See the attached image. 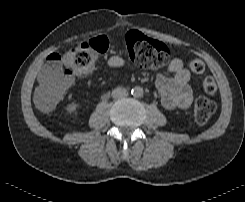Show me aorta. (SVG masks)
<instances>
[{
  "label": "aorta",
  "mask_w": 245,
  "mask_h": 202,
  "mask_svg": "<svg viewBox=\"0 0 245 202\" xmlns=\"http://www.w3.org/2000/svg\"><path fill=\"white\" fill-rule=\"evenodd\" d=\"M143 93H144L143 88L140 86H135L131 90V94L136 98L142 97Z\"/></svg>",
  "instance_id": "1"
}]
</instances>
